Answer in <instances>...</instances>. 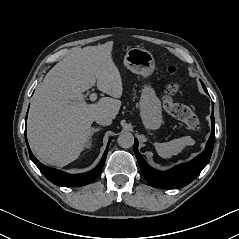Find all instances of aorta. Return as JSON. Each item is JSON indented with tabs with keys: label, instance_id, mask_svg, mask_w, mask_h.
<instances>
[{
	"label": "aorta",
	"instance_id": "aorta-1",
	"mask_svg": "<svg viewBox=\"0 0 239 239\" xmlns=\"http://www.w3.org/2000/svg\"><path fill=\"white\" fill-rule=\"evenodd\" d=\"M118 144L122 148H130L134 144V136L130 132H123L118 137Z\"/></svg>",
	"mask_w": 239,
	"mask_h": 239
}]
</instances>
